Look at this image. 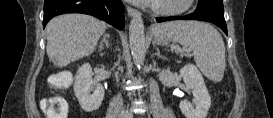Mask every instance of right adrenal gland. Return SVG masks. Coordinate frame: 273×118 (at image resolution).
I'll list each match as a JSON object with an SVG mask.
<instances>
[{
	"mask_svg": "<svg viewBox=\"0 0 273 118\" xmlns=\"http://www.w3.org/2000/svg\"><path fill=\"white\" fill-rule=\"evenodd\" d=\"M109 37H110V35L107 34V33L103 35V39H102V41L100 42V45H99L100 51L103 50L104 44L106 45V47H110L109 40H108Z\"/></svg>",
	"mask_w": 273,
	"mask_h": 118,
	"instance_id": "obj_1",
	"label": "right adrenal gland"
}]
</instances>
